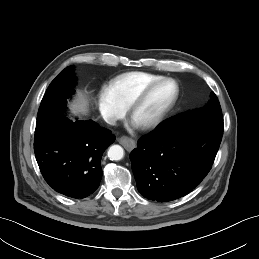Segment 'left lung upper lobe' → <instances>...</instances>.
Returning <instances> with one entry per match:
<instances>
[{"instance_id": "1", "label": "left lung upper lobe", "mask_w": 259, "mask_h": 259, "mask_svg": "<svg viewBox=\"0 0 259 259\" xmlns=\"http://www.w3.org/2000/svg\"><path fill=\"white\" fill-rule=\"evenodd\" d=\"M210 97H211L210 101L208 102V104L205 107L178 114V115L164 121L157 128H162L170 123H173L177 120L183 119L185 117H190V116L222 119V111H221L220 103L218 101L217 96L215 95L214 92H211Z\"/></svg>"}]
</instances>
